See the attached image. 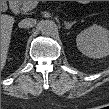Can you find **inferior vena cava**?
I'll return each instance as SVG.
<instances>
[{
	"mask_svg": "<svg viewBox=\"0 0 109 109\" xmlns=\"http://www.w3.org/2000/svg\"><path fill=\"white\" fill-rule=\"evenodd\" d=\"M36 24V20L33 18H25L21 20L18 24L20 28H30Z\"/></svg>",
	"mask_w": 109,
	"mask_h": 109,
	"instance_id": "1",
	"label": "inferior vena cava"
}]
</instances>
